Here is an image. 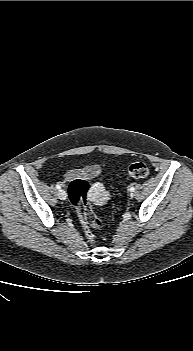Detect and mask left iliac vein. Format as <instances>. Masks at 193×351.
<instances>
[{
    "label": "left iliac vein",
    "instance_id": "4c4485c4",
    "mask_svg": "<svg viewBox=\"0 0 193 351\" xmlns=\"http://www.w3.org/2000/svg\"><path fill=\"white\" fill-rule=\"evenodd\" d=\"M130 197H131V198L134 197V193H133V192L130 193Z\"/></svg>",
    "mask_w": 193,
    "mask_h": 351
}]
</instances>
